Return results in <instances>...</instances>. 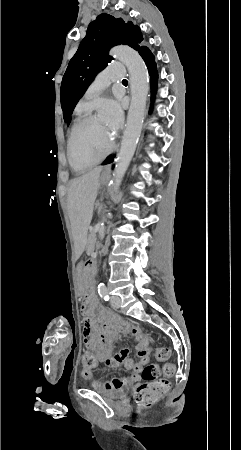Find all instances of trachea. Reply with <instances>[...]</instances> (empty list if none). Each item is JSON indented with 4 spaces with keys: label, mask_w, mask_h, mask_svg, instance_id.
<instances>
[{
    "label": "trachea",
    "mask_w": 241,
    "mask_h": 450,
    "mask_svg": "<svg viewBox=\"0 0 241 450\" xmlns=\"http://www.w3.org/2000/svg\"><path fill=\"white\" fill-rule=\"evenodd\" d=\"M123 82H127V80L126 79H124V80H122Z\"/></svg>",
    "instance_id": "obj_1"
}]
</instances>
